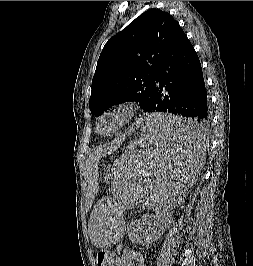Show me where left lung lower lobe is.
Returning <instances> with one entry per match:
<instances>
[{"label":"left lung lower lobe","instance_id":"obj_1","mask_svg":"<svg viewBox=\"0 0 253 266\" xmlns=\"http://www.w3.org/2000/svg\"><path fill=\"white\" fill-rule=\"evenodd\" d=\"M146 112L186 117L178 124H159L152 128L155 133L174 140H197L210 126L211 116L201 64L178 23L158 60L153 96Z\"/></svg>","mask_w":253,"mask_h":266}]
</instances>
